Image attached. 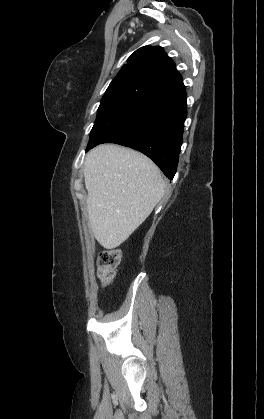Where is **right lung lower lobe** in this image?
I'll return each instance as SVG.
<instances>
[{"label":"right lung lower lobe","mask_w":264,"mask_h":419,"mask_svg":"<svg viewBox=\"0 0 264 419\" xmlns=\"http://www.w3.org/2000/svg\"><path fill=\"white\" fill-rule=\"evenodd\" d=\"M186 115L185 89L156 96L142 103L132 118L102 143H116L144 153L172 180Z\"/></svg>","instance_id":"1"}]
</instances>
